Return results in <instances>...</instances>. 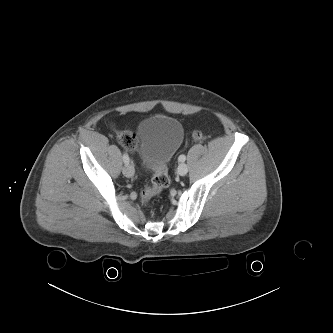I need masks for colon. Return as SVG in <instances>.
I'll use <instances>...</instances> for the list:
<instances>
[{"mask_svg":"<svg viewBox=\"0 0 333 333\" xmlns=\"http://www.w3.org/2000/svg\"><path fill=\"white\" fill-rule=\"evenodd\" d=\"M192 137L194 140L203 139V134L201 131H193ZM118 142L126 150L133 152L137 148V137L132 131H122L118 134ZM170 184V179L168 175L167 168L165 166L160 167L154 171V176L150 186L146 187L141 192V201L143 204H147L151 198L158 195L164 189H166Z\"/></svg>","mask_w":333,"mask_h":333,"instance_id":"5ec220e1","label":"colon"}]
</instances>
